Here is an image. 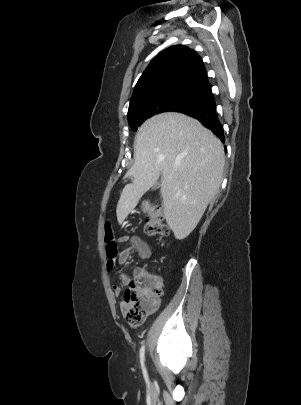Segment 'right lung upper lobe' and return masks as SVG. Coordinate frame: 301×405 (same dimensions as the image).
I'll return each instance as SVG.
<instances>
[{
	"label": "right lung upper lobe",
	"mask_w": 301,
	"mask_h": 405,
	"mask_svg": "<svg viewBox=\"0 0 301 405\" xmlns=\"http://www.w3.org/2000/svg\"><path fill=\"white\" fill-rule=\"evenodd\" d=\"M181 87L212 95L201 57L184 45H175L159 53L150 62L135 86L129 109L145 96Z\"/></svg>",
	"instance_id": "cb5924a9"
}]
</instances>
